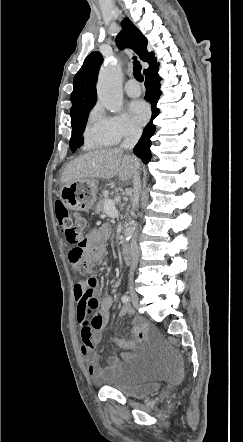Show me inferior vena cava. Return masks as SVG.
I'll return each mask as SVG.
<instances>
[{
	"instance_id": "602c4592",
	"label": "inferior vena cava",
	"mask_w": 243,
	"mask_h": 442,
	"mask_svg": "<svg viewBox=\"0 0 243 442\" xmlns=\"http://www.w3.org/2000/svg\"><path fill=\"white\" fill-rule=\"evenodd\" d=\"M142 134V129L132 126L129 129L128 134L126 135L125 139L122 142L121 148L125 150L131 151L136 143L138 142L140 136ZM133 186H134V195L136 197H139L140 190H141V180H140V174L138 170L135 171L133 176ZM140 250L138 247V243L136 240V234L133 236L130 246V258H131V265H130V276L133 275L134 270L138 263Z\"/></svg>"
}]
</instances>
